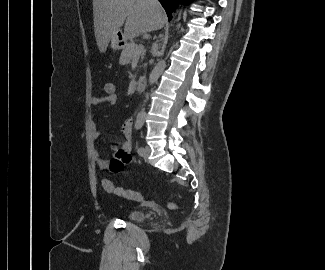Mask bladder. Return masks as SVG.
I'll return each instance as SVG.
<instances>
[{"mask_svg": "<svg viewBox=\"0 0 325 270\" xmlns=\"http://www.w3.org/2000/svg\"><path fill=\"white\" fill-rule=\"evenodd\" d=\"M146 213L141 210H133L128 213L127 218L133 222H139L146 218Z\"/></svg>", "mask_w": 325, "mask_h": 270, "instance_id": "1", "label": "bladder"}]
</instances>
